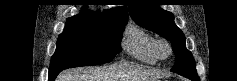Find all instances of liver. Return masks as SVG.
Here are the masks:
<instances>
[{"label": "liver", "instance_id": "obj_1", "mask_svg": "<svg viewBox=\"0 0 237 81\" xmlns=\"http://www.w3.org/2000/svg\"><path fill=\"white\" fill-rule=\"evenodd\" d=\"M161 76L155 69L119 65L68 69L59 75L58 81H156Z\"/></svg>", "mask_w": 237, "mask_h": 81}]
</instances>
